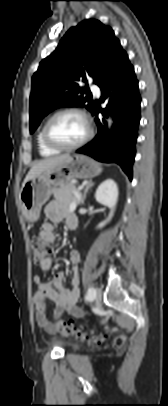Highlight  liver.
<instances>
[{
  "label": "liver",
  "mask_w": 168,
  "mask_h": 406,
  "mask_svg": "<svg viewBox=\"0 0 168 406\" xmlns=\"http://www.w3.org/2000/svg\"><path fill=\"white\" fill-rule=\"evenodd\" d=\"M70 158L69 154L59 155L55 157H50L36 162L28 172L23 184L27 181L33 179L34 177L46 174L54 170L55 168L61 166L65 161Z\"/></svg>",
  "instance_id": "obj_1"
}]
</instances>
